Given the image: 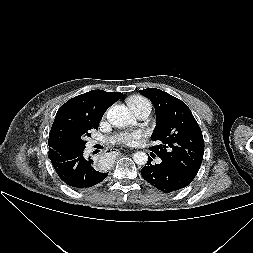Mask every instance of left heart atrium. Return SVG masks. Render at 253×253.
<instances>
[{
  "label": "left heart atrium",
  "instance_id": "left-heart-atrium-1",
  "mask_svg": "<svg viewBox=\"0 0 253 253\" xmlns=\"http://www.w3.org/2000/svg\"><path fill=\"white\" fill-rule=\"evenodd\" d=\"M143 136V132L140 130L132 131V132H122L115 135L112 138V142L119 143L123 145H133L135 142Z\"/></svg>",
  "mask_w": 253,
  "mask_h": 253
}]
</instances>
